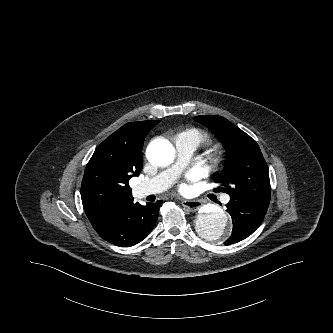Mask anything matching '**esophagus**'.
<instances>
[{"instance_id":"1","label":"esophagus","mask_w":333,"mask_h":333,"mask_svg":"<svg viewBox=\"0 0 333 333\" xmlns=\"http://www.w3.org/2000/svg\"><path fill=\"white\" fill-rule=\"evenodd\" d=\"M181 204L191 212L198 211L202 205L198 200H182Z\"/></svg>"}]
</instances>
